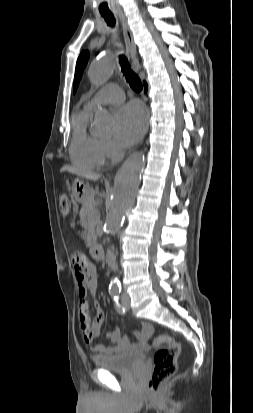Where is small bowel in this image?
<instances>
[{"label": "small bowel", "mask_w": 253, "mask_h": 413, "mask_svg": "<svg viewBox=\"0 0 253 413\" xmlns=\"http://www.w3.org/2000/svg\"><path fill=\"white\" fill-rule=\"evenodd\" d=\"M72 263L75 268V276L78 286V318L80 329L86 342L92 343L95 338L101 335L105 322V313L102 307L95 303V316L92 319L89 314V306L86 300L88 292L95 293L98 288L99 277L93 263L87 260L82 252H75L72 255ZM153 334V327L148 323H142L140 330L133 334L136 345L146 346ZM108 338L113 342V346H105L95 343L92 350L95 353L113 354L118 353L131 345V340L127 336H122L117 326L107 332Z\"/></svg>", "instance_id": "c3829d8e"}]
</instances>
